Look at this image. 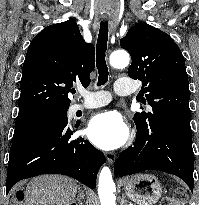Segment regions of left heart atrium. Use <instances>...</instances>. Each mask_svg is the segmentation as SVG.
Returning <instances> with one entry per match:
<instances>
[{
	"label": "left heart atrium",
	"mask_w": 199,
	"mask_h": 205,
	"mask_svg": "<svg viewBox=\"0 0 199 205\" xmlns=\"http://www.w3.org/2000/svg\"><path fill=\"white\" fill-rule=\"evenodd\" d=\"M86 133L96 146L109 150L126 142L129 128L119 113L108 111L95 115L90 120Z\"/></svg>",
	"instance_id": "left-heart-atrium-1"
}]
</instances>
